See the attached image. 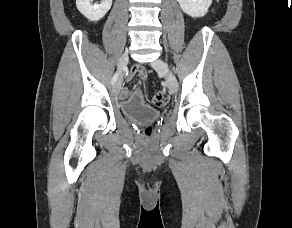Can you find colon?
I'll return each mask as SVG.
<instances>
[{"label":"colon","mask_w":292,"mask_h":228,"mask_svg":"<svg viewBox=\"0 0 292 228\" xmlns=\"http://www.w3.org/2000/svg\"><path fill=\"white\" fill-rule=\"evenodd\" d=\"M169 97L168 94L164 91H156L151 95V101L156 107H164L168 103ZM146 136H150L152 134V127L147 126L144 130Z\"/></svg>","instance_id":"colon-1"}]
</instances>
